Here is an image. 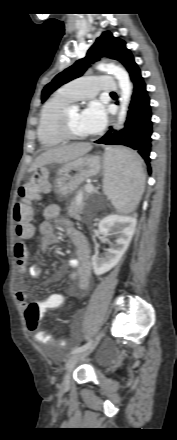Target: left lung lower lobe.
Wrapping results in <instances>:
<instances>
[{
  "label": "left lung lower lobe",
  "mask_w": 177,
  "mask_h": 440,
  "mask_svg": "<svg viewBox=\"0 0 177 440\" xmlns=\"http://www.w3.org/2000/svg\"><path fill=\"white\" fill-rule=\"evenodd\" d=\"M133 84V94L125 127L115 133H111L112 128L95 143L118 144L134 149L144 159L147 170L151 173L150 152H151V107L150 98L146 90V84L141 76V71L137 67L130 74Z\"/></svg>",
  "instance_id": "1"
}]
</instances>
